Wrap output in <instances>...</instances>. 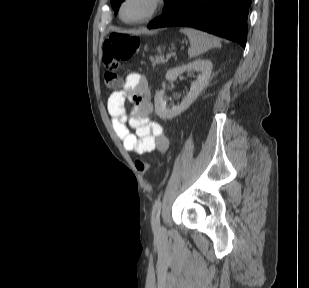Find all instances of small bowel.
I'll return each instance as SVG.
<instances>
[{
  "label": "small bowel",
  "instance_id": "c3829d8e",
  "mask_svg": "<svg viewBox=\"0 0 309 288\" xmlns=\"http://www.w3.org/2000/svg\"><path fill=\"white\" fill-rule=\"evenodd\" d=\"M127 105L131 107L130 113L126 111ZM107 109L113 129L128 153L148 154L169 149L162 126L150 118L153 111L150 90L140 74L127 75L123 89L110 94Z\"/></svg>",
  "mask_w": 309,
  "mask_h": 288
}]
</instances>
